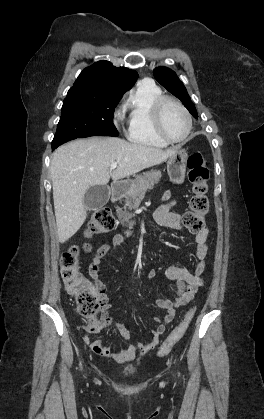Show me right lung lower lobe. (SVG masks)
<instances>
[{"instance_id": "98d812e1", "label": "right lung lower lobe", "mask_w": 264, "mask_h": 419, "mask_svg": "<svg viewBox=\"0 0 264 419\" xmlns=\"http://www.w3.org/2000/svg\"><path fill=\"white\" fill-rule=\"evenodd\" d=\"M85 137H89V136H85ZM83 138V137H82ZM58 146H53L52 150L56 149Z\"/></svg>"}]
</instances>
